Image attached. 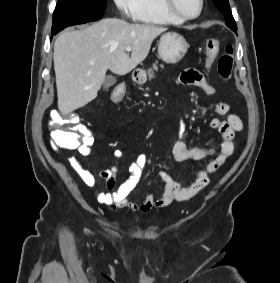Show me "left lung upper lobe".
Masks as SVG:
<instances>
[{"instance_id":"left-lung-upper-lobe-1","label":"left lung upper lobe","mask_w":280,"mask_h":283,"mask_svg":"<svg viewBox=\"0 0 280 283\" xmlns=\"http://www.w3.org/2000/svg\"><path fill=\"white\" fill-rule=\"evenodd\" d=\"M215 6L224 14L227 18L225 24L233 30L235 33L237 32L236 22L232 16V12L230 10L229 1L228 0H213Z\"/></svg>"}]
</instances>
